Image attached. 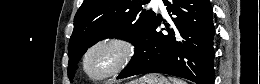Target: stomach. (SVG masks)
Listing matches in <instances>:
<instances>
[{
    "mask_svg": "<svg viewBox=\"0 0 260 84\" xmlns=\"http://www.w3.org/2000/svg\"><path fill=\"white\" fill-rule=\"evenodd\" d=\"M127 84H170V82L161 74L151 73Z\"/></svg>",
    "mask_w": 260,
    "mask_h": 84,
    "instance_id": "stomach-1",
    "label": "stomach"
}]
</instances>
